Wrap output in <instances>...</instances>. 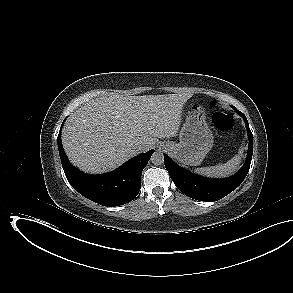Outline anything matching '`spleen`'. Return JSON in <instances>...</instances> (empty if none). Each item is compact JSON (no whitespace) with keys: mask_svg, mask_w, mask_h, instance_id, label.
Here are the masks:
<instances>
[{"mask_svg":"<svg viewBox=\"0 0 293 293\" xmlns=\"http://www.w3.org/2000/svg\"><path fill=\"white\" fill-rule=\"evenodd\" d=\"M242 154L243 148H240L238 154L226 163L218 164L216 166L197 168L195 169V172L208 177H227L238 169L241 163Z\"/></svg>","mask_w":293,"mask_h":293,"instance_id":"spleen-1","label":"spleen"}]
</instances>
